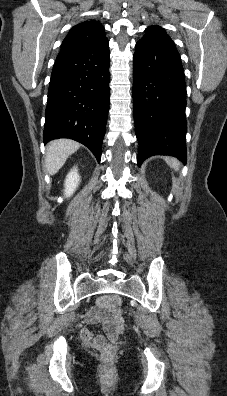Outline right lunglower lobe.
Segmentation results:
<instances>
[{"label": "right lung lower lobe", "instance_id": "98d812e1", "mask_svg": "<svg viewBox=\"0 0 227 396\" xmlns=\"http://www.w3.org/2000/svg\"><path fill=\"white\" fill-rule=\"evenodd\" d=\"M108 40L60 52L53 66L45 111L43 141L70 138L101 159L109 109Z\"/></svg>", "mask_w": 227, "mask_h": 396}]
</instances>
